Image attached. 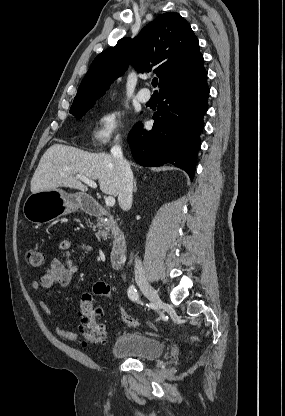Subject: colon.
<instances>
[{"label": "colon", "instance_id": "5ec220e1", "mask_svg": "<svg viewBox=\"0 0 285 416\" xmlns=\"http://www.w3.org/2000/svg\"><path fill=\"white\" fill-rule=\"evenodd\" d=\"M26 261L32 269L37 270L43 266L45 257L40 250L32 248L26 253ZM95 296L111 298V287L107 283L99 281L93 285L91 292L82 294L80 303V334L83 345H99L103 344L106 340V326L99 320L102 316V310L96 306L94 301ZM119 310L122 321L127 326L136 327L140 324L124 308L120 307Z\"/></svg>", "mask_w": 285, "mask_h": 416}]
</instances>
